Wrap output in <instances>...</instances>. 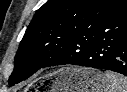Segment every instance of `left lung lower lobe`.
Segmentation results:
<instances>
[{
	"label": "left lung lower lobe",
	"instance_id": "1",
	"mask_svg": "<svg viewBox=\"0 0 127 92\" xmlns=\"http://www.w3.org/2000/svg\"><path fill=\"white\" fill-rule=\"evenodd\" d=\"M72 64L127 76V3L77 33L43 67Z\"/></svg>",
	"mask_w": 127,
	"mask_h": 92
}]
</instances>
